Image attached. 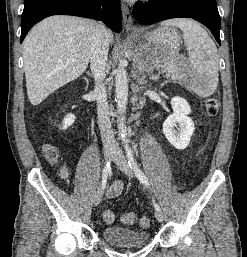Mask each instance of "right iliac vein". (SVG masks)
<instances>
[{
    "mask_svg": "<svg viewBox=\"0 0 247 257\" xmlns=\"http://www.w3.org/2000/svg\"><path fill=\"white\" fill-rule=\"evenodd\" d=\"M113 156H114V151L112 149H106L104 151V158H105L106 162H110L112 160ZM102 197H103V189L99 188L96 191L95 196H94V205L95 206H97L101 202Z\"/></svg>",
    "mask_w": 247,
    "mask_h": 257,
    "instance_id": "right-iliac-vein-1",
    "label": "right iliac vein"
}]
</instances>
